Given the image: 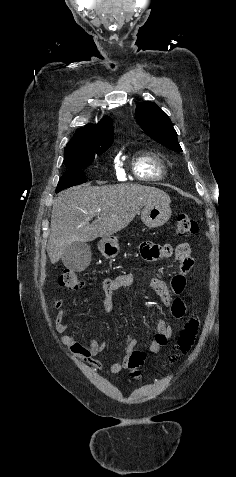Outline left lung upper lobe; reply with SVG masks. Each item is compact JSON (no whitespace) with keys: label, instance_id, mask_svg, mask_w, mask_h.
Listing matches in <instances>:
<instances>
[{"label":"left lung upper lobe","instance_id":"5c2ea615","mask_svg":"<svg viewBox=\"0 0 236 477\" xmlns=\"http://www.w3.org/2000/svg\"><path fill=\"white\" fill-rule=\"evenodd\" d=\"M136 118L140 127L150 138L175 152L182 151L171 120L156 104L140 103L136 107Z\"/></svg>","mask_w":236,"mask_h":477}]
</instances>
